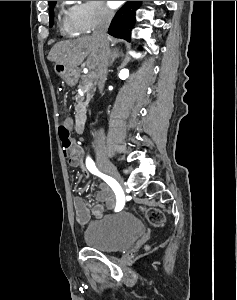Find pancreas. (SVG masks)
<instances>
[{
	"mask_svg": "<svg viewBox=\"0 0 237 300\" xmlns=\"http://www.w3.org/2000/svg\"><path fill=\"white\" fill-rule=\"evenodd\" d=\"M93 83H94V79H92L90 75H82L81 83L80 85H78V89H82V91H86L88 99H91L92 93H94ZM77 99H78L77 101L78 105H75L76 111H80V113H82V111H85L84 107H86L87 101L86 103H82L81 101L82 97H77Z\"/></svg>",
	"mask_w": 237,
	"mask_h": 300,
	"instance_id": "pancreas-1",
	"label": "pancreas"
}]
</instances>
